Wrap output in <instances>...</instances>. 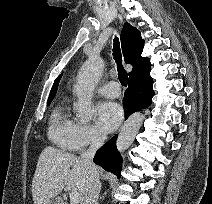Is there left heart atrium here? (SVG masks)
Masks as SVG:
<instances>
[{
  "label": "left heart atrium",
  "instance_id": "left-heart-atrium-1",
  "mask_svg": "<svg viewBox=\"0 0 212 204\" xmlns=\"http://www.w3.org/2000/svg\"><path fill=\"white\" fill-rule=\"evenodd\" d=\"M99 126L106 132L115 130L123 119V109L113 101H104L97 106Z\"/></svg>",
  "mask_w": 212,
  "mask_h": 204
}]
</instances>
